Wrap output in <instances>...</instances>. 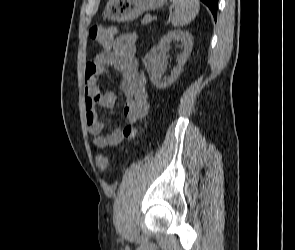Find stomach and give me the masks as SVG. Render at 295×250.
Returning a JSON list of instances; mask_svg holds the SVG:
<instances>
[{
    "label": "stomach",
    "mask_w": 295,
    "mask_h": 250,
    "mask_svg": "<svg viewBox=\"0 0 295 250\" xmlns=\"http://www.w3.org/2000/svg\"><path fill=\"white\" fill-rule=\"evenodd\" d=\"M167 0H109L104 9V18L124 22L137 18L142 13L164 6Z\"/></svg>",
    "instance_id": "obj_1"
}]
</instances>
